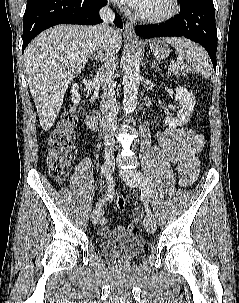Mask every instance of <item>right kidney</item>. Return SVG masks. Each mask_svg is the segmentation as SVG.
I'll use <instances>...</instances> for the list:
<instances>
[{
  "label": "right kidney",
  "mask_w": 239,
  "mask_h": 303,
  "mask_svg": "<svg viewBox=\"0 0 239 303\" xmlns=\"http://www.w3.org/2000/svg\"><path fill=\"white\" fill-rule=\"evenodd\" d=\"M78 90V84H73L71 88V101L74 103V105H77L81 100L80 95L78 94Z\"/></svg>",
  "instance_id": "right-kidney-1"
}]
</instances>
